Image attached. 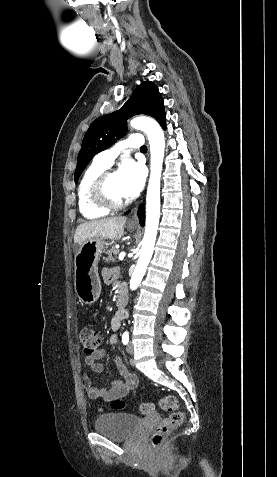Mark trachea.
<instances>
[{"label":"trachea","instance_id":"1","mask_svg":"<svg viewBox=\"0 0 277 477\" xmlns=\"http://www.w3.org/2000/svg\"><path fill=\"white\" fill-rule=\"evenodd\" d=\"M141 151H147V147L144 145L140 148Z\"/></svg>","mask_w":277,"mask_h":477}]
</instances>
